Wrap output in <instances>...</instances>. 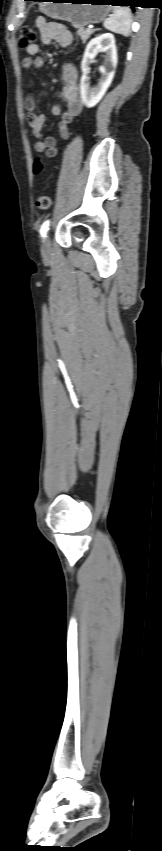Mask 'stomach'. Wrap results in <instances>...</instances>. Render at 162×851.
I'll return each mask as SVG.
<instances>
[{
	"instance_id": "1",
	"label": "stomach",
	"mask_w": 162,
	"mask_h": 851,
	"mask_svg": "<svg viewBox=\"0 0 162 851\" xmlns=\"http://www.w3.org/2000/svg\"><path fill=\"white\" fill-rule=\"evenodd\" d=\"M39 4L40 11L46 16L68 21L75 26L84 27L103 21L111 7L106 0H52ZM109 4V3H108Z\"/></svg>"
}]
</instances>
